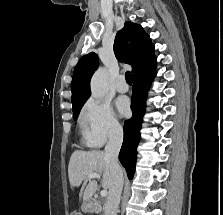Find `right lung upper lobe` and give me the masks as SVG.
Segmentation results:
<instances>
[{
	"label": "right lung upper lobe",
	"instance_id": "obj_1",
	"mask_svg": "<svg viewBox=\"0 0 223 215\" xmlns=\"http://www.w3.org/2000/svg\"><path fill=\"white\" fill-rule=\"evenodd\" d=\"M116 58L133 68V78L156 67L154 45L140 25L127 21L124 27L117 32L114 42ZM98 67V56L91 52L79 60L73 73L71 83L73 108L83 106L90 96V80Z\"/></svg>",
	"mask_w": 223,
	"mask_h": 215
}]
</instances>
